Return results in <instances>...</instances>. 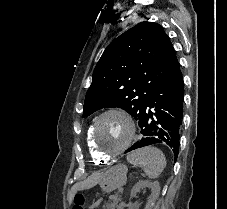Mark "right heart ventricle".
<instances>
[{
  "instance_id": "1",
  "label": "right heart ventricle",
  "mask_w": 227,
  "mask_h": 209,
  "mask_svg": "<svg viewBox=\"0 0 227 209\" xmlns=\"http://www.w3.org/2000/svg\"><path fill=\"white\" fill-rule=\"evenodd\" d=\"M92 124L93 122H91L87 128V131H86V145H87V148H88V151L91 155V158L93 159L94 162L96 163H101V162H107L109 159H105V158H102L98 153L97 151L95 150V147L92 143V140H91V128H92Z\"/></svg>"
}]
</instances>
